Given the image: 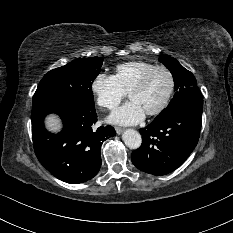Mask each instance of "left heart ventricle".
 Masks as SVG:
<instances>
[{
	"label": "left heart ventricle",
	"mask_w": 233,
	"mask_h": 233,
	"mask_svg": "<svg viewBox=\"0 0 233 233\" xmlns=\"http://www.w3.org/2000/svg\"><path fill=\"white\" fill-rule=\"evenodd\" d=\"M170 86V79L166 72H156L148 81L146 86L129 98L137 102L145 113L157 109L164 101Z\"/></svg>",
	"instance_id": "obj_1"
}]
</instances>
